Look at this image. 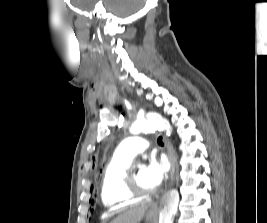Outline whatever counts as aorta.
I'll return each mask as SVG.
<instances>
[{
    "instance_id": "1",
    "label": "aorta",
    "mask_w": 267,
    "mask_h": 223,
    "mask_svg": "<svg viewBox=\"0 0 267 223\" xmlns=\"http://www.w3.org/2000/svg\"><path fill=\"white\" fill-rule=\"evenodd\" d=\"M155 130H166L170 134L169 125L157 116L138 120L130 128L132 134ZM179 202L180 196L176 190L169 191L162 197L159 204V223H173Z\"/></svg>"
}]
</instances>
